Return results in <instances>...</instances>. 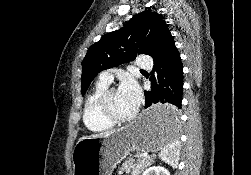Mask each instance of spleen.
Returning a JSON list of instances; mask_svg holds the SVG:
<instances>
[{
	"label": "spleen",
	"instance_id": "1",
	"mask_svg": "<svg viewBox=\"0 0 251 175\" xmlns=\"http://www.w3.org/2000/svg\"><path fill=\"white\" fill-rule=\"evenodd\" d=\"M178 115L176 111H171L169 117H165L163 123V133L167 135V141L163 147H161V151L159 153V157H161L162 161H166V163H170L172 167H178L179 163V151H180V143H175L178 137V125L179 119H177Z\"/></svg>",
	"mask_w": 251,
	"mask_h": 175
}]
</instances>
